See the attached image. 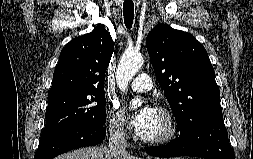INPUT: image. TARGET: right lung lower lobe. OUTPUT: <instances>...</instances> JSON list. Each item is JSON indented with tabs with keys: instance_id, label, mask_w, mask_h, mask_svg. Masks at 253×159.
Masks as SVG:
<instances>
[{
	"instance_id": "98d812e1",
	"label": "right lung lower lobe",
	"mask_w": 253,
	"mask_h": 159,
	"mask_svg": "<svg viewBox=\"0 0 253 159\" xmlns=\"http://www.w3.org/2000/svg\"><path fill=\"white\" fill-rule=\"evenodd\" d=\"M106 136L103 126L80 125L39 143L34 159H53L75 148L99 144Z\"/></svg>"
}]
</instances>
